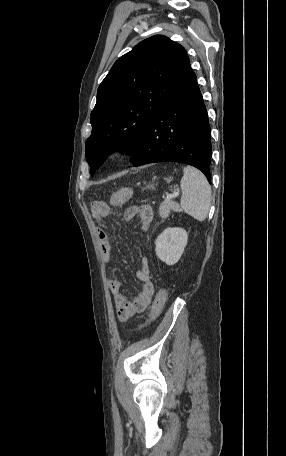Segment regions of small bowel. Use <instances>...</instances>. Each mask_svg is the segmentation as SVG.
I'll use <instances>...</instances> for the list:
<instances>
[{"instance_id": "c3829d8e", "label": "small bowel", "mask_w": 286, "mask_h": 456, "mask_svg": "<svg viewBox=\"0 0 286 456\" xmlns=\"http://www.w3.org/2000/svg\"><path fill=\"white\" fill-rule=\"evenodd\" d=\"M100 216L101 213L95 211ZM123 219L125 221L138 220L141 230H148L153 221V209L148 205L132 206L125 210ZM98 240L104 261L110 265L112 263L111 242L108 229L102 224L98 229ZM137 279L142 287L140 292L132 299H129L121 291V282L115 279H108L107 286L113 295L117 317L120 321H126L144 311L151 302L153 295V284L150 277V261L148 257H143L137 271Z\"/></svg>"}]
</instances>
